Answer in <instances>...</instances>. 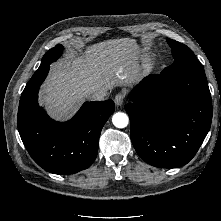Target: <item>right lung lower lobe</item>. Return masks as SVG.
Returning <instances> with one entry per match:
<instances>
[{"mask_svg": "<svg viewBox=\"0 0 221 221\" xmlns=\"http://www.w3.org/2000/svg\"><path fill=\"white\" fill-rule=\"evenodd\" d=\"M48 72L49 66L37 69L27 83L19 103L18 130L40 167L54 174H73L94 162L99 136L114 112V102H86L71 120L56 122L37 102L39 87Z\"/></svg>", "mask_w": 221, "mask_h": 221, "instance_id": "obj_1", "label": "right lung lower lobe"}]
</instances>
